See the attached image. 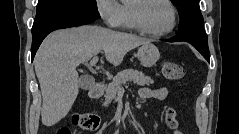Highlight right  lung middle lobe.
Returning <instances> with one entry per match:
<instances>
[{
  "label": "right lung middle lobe",
  "instance_id": "obj_1",
  "mask_svg": "<svg viewBox=\"0 0 239 134\" xmlns=\"http://www.w3.org/2000/svg\"><path fill=\"white\" fill-rule=\"evenodd\" d=\"M66 15L100 18L96 0H39L32 32L47 22Z\"/></svg>",
  "mask_w": 239,
  "mask_h": 134
}]
</instances>
